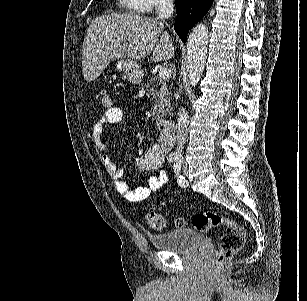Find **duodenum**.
<instances>
[{"label": "duodenum", "instance_id": "obj_1", "mask_svg": "<svg viewBox=\"0 0 307 301\" xmlns=\"http://www.w3.org/2000/svg\"><path fill=\"white\" fill-rule=\"evenodd\" d=\"M160 131L171 134L176 130V121L170 117H163L157 122Z\"/></svg>", "mask_w": 307, "mask_h": 301}]
</instances>
